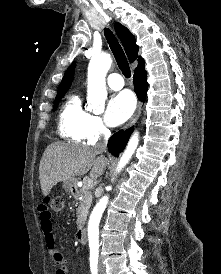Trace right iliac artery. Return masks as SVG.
Returning a JSON list of instances; mask_svg holds the SVG:
<instances>
[{
  "mask_svg": "<svg viewBox=\"0 0 221 274\" xmlns=\"http://www.w3.org/2000/svg\"><path fill=\"white\" fill-rule=\"evenodd\" d=\"M90 269L92 274H98V256L90 257Z\"/></svg>",
  "mask_w": 221,
  "mask_h": 274,
  "instance_id": "82829eb1",
  "label": "right iliac artery"
}]
</instances>
